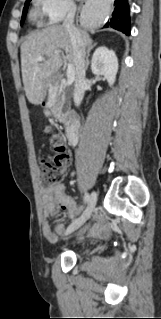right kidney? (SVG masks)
<instances>
[{"label":"right kidney","mask_w":161,"mask_h":319,"mask_svg":"<svg viewBox=\"0 0 161 319\" xmlns=\"http://www.w3.org/2000/svg\"><path fill=\"white\" fill-rule=\"evenodd\" d=\"M91 70L95 75H103L112 86L118 71L115 52L104 46L97 48L92 57Z\"/></svg>","instance_id":"ca27d5eb"}]
</instances>
